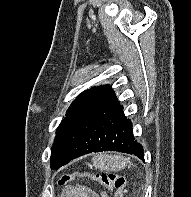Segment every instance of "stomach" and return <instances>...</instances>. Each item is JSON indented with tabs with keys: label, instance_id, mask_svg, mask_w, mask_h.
<instances>
[{
	"label": "stomach",
	"instance_id": "0dacf381",
	"mask_svg": "<svg viewBox=\"0 0 191 197\" xmlns=\"http://www.w3.org/2000/svg\"><path fill=\"white\" fill-rule=\"evenodd\" d=\"M126 159L120 156H110L105 154L97 155L93 158V166L96 169L108 172H115L126 167Z\"/></svg>",
	"mask_w": 191,
	"mask_h": 197
}]
</instances>
